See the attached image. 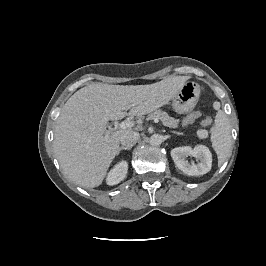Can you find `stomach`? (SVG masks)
<instances>
[{"instance_id":"obj_1","label":"stomach","mask_w":266,"mask_h":266,"mask_svg":"<svg viewBox=\"0 0 266 266\" xmlns=\"http://www.w3.org/2000/svg\"><path fill=\"white\" fill-rule=\"evenodd\" d=\"M200 97V86L187 81L178 93L172 98V107L178 114H186L194 109Z\"/></svg>"}]
</instances>
